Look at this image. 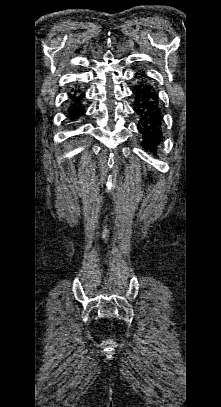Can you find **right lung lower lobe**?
<instances>
[{
    "label": "right lung lower lobe",
    "instance_id": "1",
    "mask_svg": "<svg viewBox=\"0 0 221 407\" xmlns=\"http://www.w3.org/2000/svg\"><path fill=\"white\" fill-rule=\"evenodd\" d=\"M70 104L67 110L68 118L71 121L77 120L79 117L85 114V108L83 106V100L85 94L81 92L78 87H75L69 93Z\"/></svg>",
    "mask_w": 221,
    "mask_h": 407
}]
</instances>
